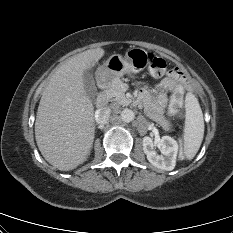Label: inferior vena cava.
I'll return each instance as SVG.
<instances>
[{
	"instance_id": "inferior-vena-cava-1",
	"label": "inferior vena cava",
	"mask_w": 233,
	"mask_h": 233,
	"mask_svg": "<svg viewBox=\"0 0 233 233\" xmlns=\"http://www.w3.org/2000/svg\"><path fill=\"white\" fill-rule=\"evenodd\" d=\"M111 115V109L108 107H102L95 112V120L98 124H106Z\"/></svg>"
}]
</instances>
